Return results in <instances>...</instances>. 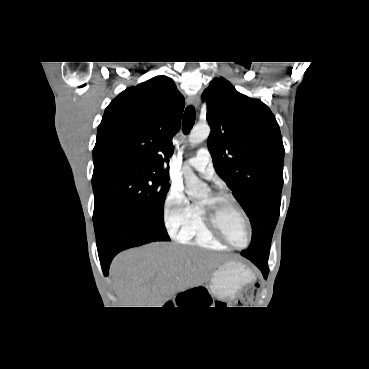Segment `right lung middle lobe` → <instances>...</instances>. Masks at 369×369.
<instances>
[{
  "label": "right lung middle lobe",
  "mask_w": 369,
  "mask_h": 369,
  "mask_svg": "<svg viewBox=\"0 0 369 369\" xmlns=\"http://www.w3.org/2000/svg\"><path fill=\"white\" fill-rule=\"evenodd\" d=\"M168 180V175L135 166H94L95 234L113 218L127 216L138 220L159 241H170L163 218Z\"/></svg>",
  "instance_id": "dd1d6c3e"
}]
</instances>
